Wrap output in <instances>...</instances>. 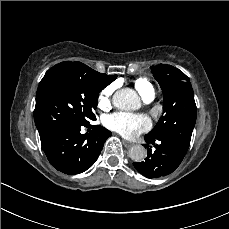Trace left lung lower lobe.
Returning a JSON list of instances; mask_svg holds the SVG:
<instances>
[{"label":"left lung lower lobe","mask_w":229,"mask_h":229,"mask_svg":"<svg viewBox=\"0 0 229 229\" xmlns=\"http://www.w3.org/2000/svg\"><path fill=\"white\" fill-rule=\"evenodd\" d=\"M148 156L145 161L133 163L136 170L147 178H158L172 173L182 162L188 147L181 142L165 137H144ZM155 151L152 153V146Z\"/></svg>","instance_id":"obj_1"}]
</instances>
